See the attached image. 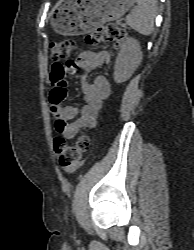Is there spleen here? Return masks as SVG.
Instances as JSON below:
<instances>
[{
	"label": "spleen",
	"instance_id": "obj_1",
	"mask_svg": "<svg viewBox=\"0 0 194 250\" xmlns=\"http://www.w3.org/2000/svg\"><path fill=\"white\" fill-rule=\"evenodd\" d=\"M137 7L126 16V23L143 35H150L154 28L157 0H136Z\"/></svg>",
	"mask_w": 194,
	"mask_h": 250
}]
</instances>
